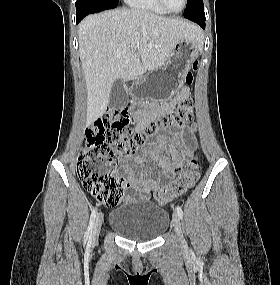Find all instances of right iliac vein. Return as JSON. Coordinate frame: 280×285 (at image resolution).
Listing matches in <instances>:
<instances>
[{
	"label": "right iliac vein",
	"instance_id": "right-iliac-vein-1",
	"mask_svg": "<svg viewBox=\"0 0 280 285\" xmlns=\"http://www.w3.org/2000/svg\"><path fill=\"white\" fill-rule=\"evenodd\" d=\"M102 222H103V215L100 213L98 214L94 223L93 231L91 234V243H94L97 240L101 230Z\"/></svg>",
	"mask_w": 280,
	"mask_h": 285
}]
</instances>
